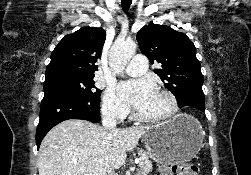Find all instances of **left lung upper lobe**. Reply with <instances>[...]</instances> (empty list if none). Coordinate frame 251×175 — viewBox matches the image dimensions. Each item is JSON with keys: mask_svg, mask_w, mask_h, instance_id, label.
Masks as SVG:
<instances>
[{"mask_svg": "<svg viewBox=\"0 0 251 175\" xmlns=\"http://www.w3.org/2000/svg\"><path fill=\"white\" fill-rule=\"evenodd\" d=\"M137 41L151 63L162 64L154 72L176 96L178 103L205 104L204 79L196 48L186 34L166 25L150 24L137 33Z\"/></svg>", "mask_w": 251, "mask_h": 175, "instance_id": "left-lung-upper-lobe-1", "label": "left lung upper lobe"}]
</instances>
